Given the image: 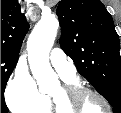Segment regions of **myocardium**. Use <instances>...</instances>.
<instances>
[{
  "label": "myocardium",
  "instance_id": "myocardium-1",
  "mask_svg": "<svg viewBox=\"0 0 121 113\" xmlns=\"http://www.w3.org/2000/svg\"><path fill=\"white\" fill-rule=\"evenodd\" d=\"M60 96L50 95V102L55 113H71L75 109V99L85 94H91L97 97L105 106V113H111V105L109 101L99 92L86 86L71 83L64 84L60 87Z\"/></svg>",
  "mask_w": 121,
  "mask_h": 113
}]
</instances>
